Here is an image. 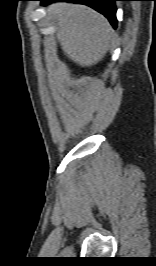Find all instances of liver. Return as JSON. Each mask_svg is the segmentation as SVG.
<instances>
[{
	"mask_svg": "<svg viewBox=\"0 0 156 266\" xmlns=\"http://www.w3.org/2000/svg\"><path fill=\"white\" fill-rule=\"evenodd\" d=\"M47 11L57 20V40L70 60L89 67L103 59L114 40L104 16L87 6L68 3L53 4Z\"/></svg>",
	"mask_w": 156,
	"mask_h": 266,
	"instance_id": "6515ba94",
	"label": "liver"
}]
</instances>
